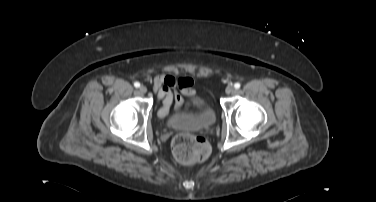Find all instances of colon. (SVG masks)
<instances>
[{"label":"colon","mask_w":376,"mask_h":202,"mask_svg":"<svg viewBox=\"0 0 376 202\" xmlns=\"http://www.w3.org/2000/svg\"><path fill=\"white\" fill-rule=\"evenodd\" d=\"M172 152L178 162L191 164L206 160L210 147L203 137L182 133L174 137Z\"/></svg>","instance_id":"colon-1"}]
</instances>
